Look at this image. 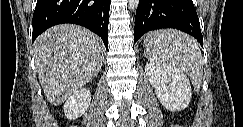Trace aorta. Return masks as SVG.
<instances>
[{
    "instance_id": "obj_1",
    "label": "aorta",
    "mask_w": 243,
    "mask_h": 127,
    "mask_svg": "<svg viewBox=\"0 0 243 127\" xmlns=\"http://www.w3.org/2000/svg\"><path fill=\"white\" fill-rule=\"evenodd\" d=\"M139 4V0H128V7L130 10H135L137 9Z\"/></svg>"
}]
</instances>
